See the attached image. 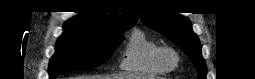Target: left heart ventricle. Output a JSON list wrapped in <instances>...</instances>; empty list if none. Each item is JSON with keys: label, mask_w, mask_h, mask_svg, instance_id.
I'll return each instance as SVG.
<instances>
[{"label": "left heart ventricle", "mask_w": 255, "mask_h": 79, "mask_svg": "<svg viewBox=\"0 0 255 79\" xmlns=\"http://www.w3.org/2000/svg\"><path fill=\"white\" fill-rule=\"evenodd\" d=\"M168 59H169V61H170L171 63H175V58H174V56L169 55V56H168Z\"/></svg>", "instance_id": "obj_1"}]
</instances>
